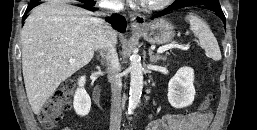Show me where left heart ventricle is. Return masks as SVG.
I'll use <instances>...</instances> for the list:
<instances>
[{
    "instance_id": "b2bd125f",
    "label": "left heart ventricle",
    "mask_w": 257,
    "mask_h": 130,
    "mask_svg": "<svg viewBox=\"0 0 257 130\" xmlns=\"http://www.w3.org/2000/svg\"><path fill=\"white\" fill-rule=\"evenodd\" d=\"M155 1H158V0H146V2H155Z\"/></svg>"
}]
</instances>
